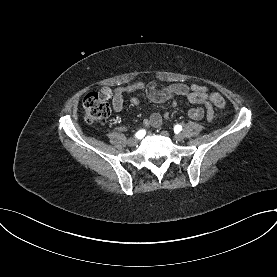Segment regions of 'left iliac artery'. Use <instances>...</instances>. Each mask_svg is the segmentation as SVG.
<instances>
[{"mask_svg": "<svg viewBox=\"0 0 277 277\" xmlns=\"http://www.w3.org/2000/svg\"><path fill=\"white\" fill-rule=\"evenodd\" d=\"M174 130H175L176 132H180V131L182 130V126L176 125L175 128H174Z\"/></svg>", "mask_w": 277, "mask_h": 277, "instance_id": "left-iliac-artery-1", "label": "left iliac artery"}]
</instances>
